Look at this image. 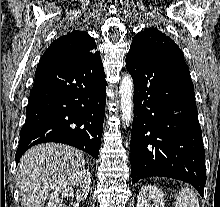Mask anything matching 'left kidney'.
I'll return each instance as SVG.
<instances>
[{
	"label": "left kidney",
	"mask_w": 220,
	"mask_h": 207,
	"mask_svg": "<svg viewBox=\"0 0 220 207\" xmlns=\"http://www.w3.org/2000/svg\"><path fill=\"white\" fill-rule=\"evenodd\" d=\"M137 207H166L161 191L148 184L143 186L137 197Z\"/></svg>",
	"instance_id": "1"
}]
</instances>
